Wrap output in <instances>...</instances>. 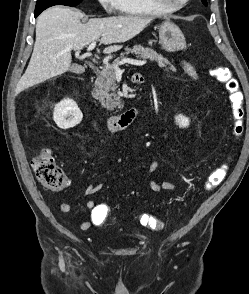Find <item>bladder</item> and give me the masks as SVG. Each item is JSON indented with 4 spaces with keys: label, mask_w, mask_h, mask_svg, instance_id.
I'll list each match as a JSON object with an SVG mask.
<instances>
[{
    "label": "bladder",
    "mask_w": 249,
    "mask_h": 294,
    "mask_svg": "<svg viewBox=\"0 0 249 294\" xmlns=\"http://www.w3.org/2000/svg\"><path fill=\"white\" fill-rule=\"evenodd\" d=\"M135 237L139 240L144 239V235L143 234H136Z\"/></svg>",
    "instance_id": "1"
}]
</instances>
